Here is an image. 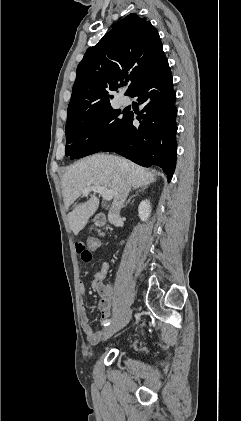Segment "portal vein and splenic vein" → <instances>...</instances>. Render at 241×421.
<instances>
[{"label":"portal vein and splenic vein","mask_w":241,"mask_h":421,"mask_svg":"<svg viewBox=\"0 0 241 421\" xmlns=\"http://www.w3.org/2000/svg\"><path fill=\"white\" fill-rule=\"evenodd\" d=\"M90 192L99 193L103 197V199L107 201L113 198V191L108 190L103 186H89L82 190L83 195H88Z\"/></svg>","instance_id":"1"}]
</instances>
